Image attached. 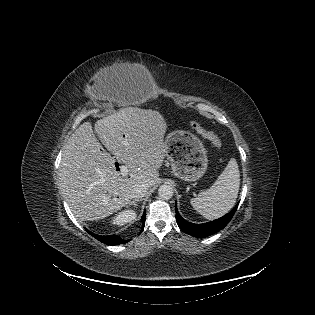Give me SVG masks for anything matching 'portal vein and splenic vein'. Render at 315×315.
<instances>
[{
    "label": "portal vein and splenic vein",
    "instance_id": "18ae733b",
    "mask_svg": "<svg viewBox=\"0 0 315 315\" xmlns=\"http://www.w3.org/2000/svg\"><path fill=\"white\" fill-rule=\"evenodd\" d=\"M128 172H129V170H128V167H127V166H125V165L121 166V168H120V174H121L122 176L128 175Z\"/></svg>",
    "mask_w": 315,
    "mask_h": 315
}]
</instances>
